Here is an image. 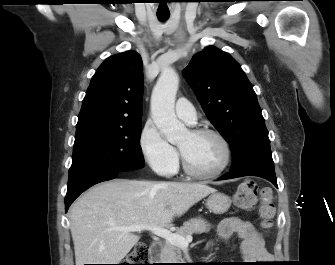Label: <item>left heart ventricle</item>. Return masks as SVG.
I'll list each match as a JSON object with an SVG mask.
<instances>
[{
	"instance_id": "obj_1",
	"label": "left heart ventricle",
	"mask_w": 335,
	"mask_h": 265,
	"mask_svg": "<svg viewBox=\"0 0 335 265\" xmlns=\"http://www.w3.org/2000/svg\"><path fill=\"white\" fill-rule=\"evenodd\" d=\"M178 147L190 167L201 173L215 171L224 158L221 143L209 135L194 136L188 132L180 139Z\"/></svg>"
}]
</instances>
